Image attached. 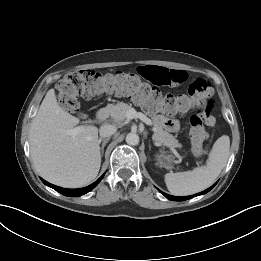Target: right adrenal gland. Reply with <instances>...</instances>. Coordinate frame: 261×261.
I'll return each instance as SVG.
<instances>
[{
	"label": "right adrenal gland",
	"mask_w": 261,
	"mask_h": 261,
	"mask_svg": "<svg viewBox=\"0 0 261 261\" xmlns=\"http://www.w3.org/2000/svg\"><path fill=\"white\" fill-rule=\"evenodd\" d=\"M108 141H109V138H106V139H104V140L99 139V143L102 142V145H101V148H100V150H101V156H103L104 147L106 146V144L108 143Z\"/></svg>",
	"instance_id": "right-adrenal-gland-1"
}]
</instances>
